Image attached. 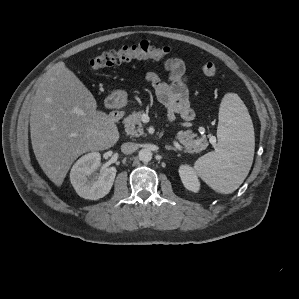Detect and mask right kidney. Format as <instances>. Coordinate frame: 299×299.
<instances>
[{
  "label": "right kidney",
  "instance_id": "1",
  "mask_svg": "<svg viewBox=\"0 0 299 299\" xmlns=\"http://www.w3.org/2000/svg\"><path fill=\"white\" fill-rule=\"evenodd\" d=\"M100 161V154L91 152L82 156L73 165L70 181L80 197L98 200L109 193L117 170L115 167H109L97 173Z\"/></svg>",
  "mask_w": 299,
  "mask_h": 299
}]
</instances>
